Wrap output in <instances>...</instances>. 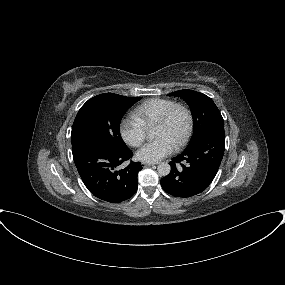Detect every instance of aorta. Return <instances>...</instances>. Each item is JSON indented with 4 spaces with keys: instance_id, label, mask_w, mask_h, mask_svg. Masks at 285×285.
I'll return each instance as SVG.
<instances>
[{
    "instance_id": "1",
    "label": "aorta",
    "mask_w": 285,
    "mask_h": 285,
    "mask_svg": "<svg viewBox=\"0 0 285 285\" xmlns=\"http://www.w3.org/2000/svg\"><path fill=\"white\" fill-rule=\"evenodd\" d=\"M157 171H158V174L161 175V176H167L170 171H171V167L168 163H160L157 167Z\"/></svg>"
}]
</instances>
